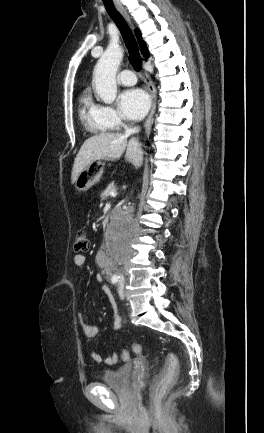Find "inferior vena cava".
Listing matches in <instances>:
<instances>
[{
	"label": "inferior vena cava",
	"mask_w": 264,
	"mask_h": 433,
	"mask_svg": "<svg viewBox=\"0 0 264 433\" xmlns=\"http://www.w3.org/2000/svg\"><path fill=\"white\" fill-rule=\"evenodd\" d=\"M139 127H127L125 126L126 135L134 134L139 132ZM116 252H125V251H116Z\"/></svg>",
	"instance_id": "inferior-vena-cava-1"
}]
</instances>
